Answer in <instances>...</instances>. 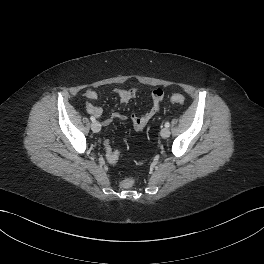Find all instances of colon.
Returning a JSON list of instances; mask_svg holds the SVG:
<instances>
[{"mask_svg":"<svg viewBox=\"0 0 264 264\" xmlns=\"http://www.w3.org/2000/svg\"><path fill=\"white\" fill-rule=\"evenodd\" d=\"M171 102L175 103V104H183L185 102V98L183 95L181 94H173L170 97ZM105 150H106V154L109 155L111 158H116L117 157V153L115 151H113L109 145L108 142H105ZM134 184V180L132 178H127L122 182V187L125 189H129L133 186Z\"/></svg>","mask_w":264,"mask_h":264,"instance_id":"5ec220e1","label":"colon"}]
</instances>
